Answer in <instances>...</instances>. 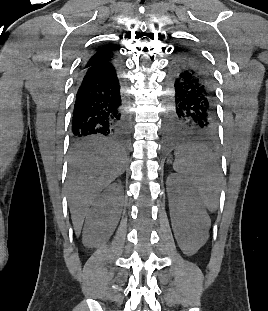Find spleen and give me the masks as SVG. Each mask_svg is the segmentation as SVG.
<instances>
[{
    "label": "spleen",
    "instance_id": "3e777b00",
    "mask_svg": "<svg viewBox=\"0 0 268 311\" xmlns=\"http://www.w3.org/2000/svg\"><path fill=\"white\" fill-rule=\"evenodd\" d=\"M173 167L195 185L204 206L211 212L215 211L221 174V169L215 168L218 167L216 153L199 145L183 147L176 151Z\"/></svg>",
    "mask_w": 268,
    "mask_h": 311
}]
</instances>
